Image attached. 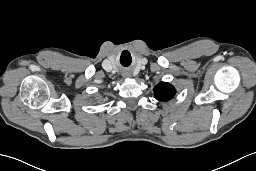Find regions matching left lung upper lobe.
Returning <instances> with one entry per match:
<instances>
[{
    "label": "left lung upper lobe",
    "mask_w": 256,
    "mask_h": 171,
    "mask_svg": "<svg viewBox=\"0 0 256 171\" xmlns=\"http://www.w3.org/2000/svg\"><path fill=\"white\" fill-rule=\"evenodd\" d=\"M175 88L166 82H161L154 88V96L159 101H168L175 95Z\"/></svg>",
    "instance_id": "5c2ea615"
}]
</instances>
